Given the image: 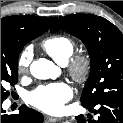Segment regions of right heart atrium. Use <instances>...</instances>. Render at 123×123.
Wrapping results in <instances>:
<instances>
[{"instance_id": "1", "label": "right heart atrium", "mask_w": 123, "mask_h": 123, "mask_svg": "<svg viewBox=\"0 0 123 123\" xmlns=\"http://www.w3.org/2000/svg\"><path fill=\"white\" fill-rule=\"evenodd\" d=\"M31 60L32 52L28 49L19 55L17 60V71L19 74H25L28 72Z\"/></svg>"}]
</instances>
